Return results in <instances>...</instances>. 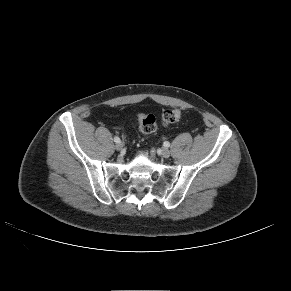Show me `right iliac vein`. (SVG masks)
<instances>
[{
	"mask_svg": "<svg viewBox=\"0 0 291 291\" xmlns=\"http://www.w3.org/2000/svg\"><path fill=\"white\" fill-rule=\"evenodd\" d=\"M115 148H116V150L120 151L123 148V144L121 142L116 143Z\"/></svg>",
	"mask_w": 291,
	"mask_h": 291,
	"instance_id": "right-iliac-vein-1",
	"label": "right iliac vein"
}]
</instances>
